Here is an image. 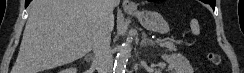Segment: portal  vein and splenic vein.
<instances>
[{"instance_id": "18ae733b", "label": "portal vein and splenic vein", "mask_w": 244, "mask_h": 73, "mask_svg": "<svg viewBox=\"0 0 244 73\" xmlns=\"http://www.w3.org/2000/svg\"><path fill=\"white\" fill-rule=\"evenodd\" d=\"M155 42H156V43H161L162 40H161L160 38H157V39L155 40Z\"/></svg>"}]
</instances>
